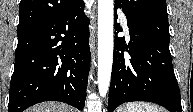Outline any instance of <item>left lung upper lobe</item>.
<instances>
[{
  "label": "left lung upper lobe",
  "mask_w": 193,
  "mask_h": 112,
  "mask_svg": "<svg viewBox=\"0 0 193 112\" xmlns=\"http://www.w3.org/2000/svg\"><path fill=\"white\" fill-rule=\"evenodd\" d=\"M128 19H138L153 15H168L165 0H115Z\"/></svg>",
  "instance_id": "left-lung-upper-lobe-1"
}]
</instances>
